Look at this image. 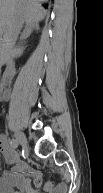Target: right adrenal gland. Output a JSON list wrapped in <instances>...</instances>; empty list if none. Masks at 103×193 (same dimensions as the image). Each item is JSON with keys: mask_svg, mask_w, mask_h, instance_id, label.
Returning <instances> with one entry per match:
<instances>
[{"mask_svg": "<svg viewBox=\"0 0 103 193\" xmlns=\"http://www.w3.org/2000/svg\"><path fill=\"white\" fill-rule=\"evenodd\" d=\"M32 28H33V25H27L26 28L24 29L20 39H22V40L26 39L30 35ZM21 48H23V47H21Z\"/></svg>", "mask_w": 103, "mask_h": 193, "instance_id": "right-adrenal-gland-1", "label": "right adrenal gland"}]
</instances>
